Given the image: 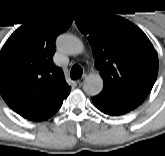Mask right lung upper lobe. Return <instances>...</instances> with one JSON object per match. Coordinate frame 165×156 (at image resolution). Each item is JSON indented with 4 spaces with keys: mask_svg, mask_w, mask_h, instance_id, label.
I'll use <instances>...</instances> for the list:
<instances>
[{
    "mask_svg": "<svg viewBox=\"0 0 165 156\" xmlns=\"http://www.w3.org/2000/svg\"><path fill=\"white\" fill-rule=\"evenodd\" d=\"M73 18H45L16 30L0 52V94L24 118L43 121L70 93L64 73L53 63L56 37Z\"/></svg>",
    "mask_w": 165,
    "mask_h": 156,
    "instance_id": "obj_1",
    "label": "right lung upper lobe"
}]
</instances>
